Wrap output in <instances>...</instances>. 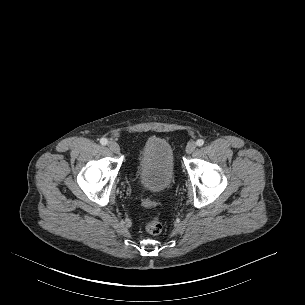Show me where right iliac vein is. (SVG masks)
Masks as SVG:
<instances>
[{"label": "right iliac vein", "instance_id": "obj_1", "mask_svg": "<svg viewBox=\"0 0 305 305\" xmlns=\"http://www.w3.org/2000/svg\"><path fill=\"white\" fill-rule=\"evenodd\" d=\"M107 146L110 149V151H112L113 153H119L120 152L119 145L114 141H109Z\"/></svg>", "mask_w": 305, "mask_h": 305}]
</instances>
